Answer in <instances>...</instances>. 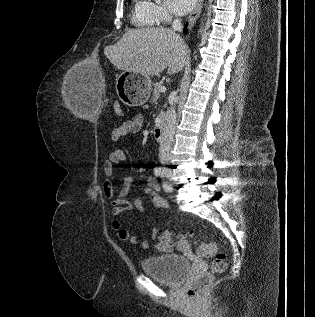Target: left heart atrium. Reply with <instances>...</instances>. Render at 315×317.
<instances>
[{"mask_svg": "<svg viewBox=\"0 0 315 317\" xmlns=\"http://www.w3.org/2000/svg\"><path fill=\"white\" fill-rule=\"evenodd\" d=\"M196 1L197 0H169V6L174 13L184 15L193 9Z\"/></svg>", "mask_w": 315, "mask_h": 317, "instance_id": "left-heart-atrium-1", "label": "left heart atrium"}]
</instances>
